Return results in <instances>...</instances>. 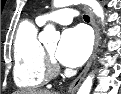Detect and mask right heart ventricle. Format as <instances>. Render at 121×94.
Instances as JSON below:
<instances>
[{"label": "right heart ventricle", "mask_w": 121, "mask_h": 94, "mask_svg": "<svg viewBox=\"0 0 121 94\" xmlns=\"http://www.w3.org/2000/svg\"><path fill=\"white\" fill-rule=\"evenodd\" d=\"M14 81L23 89L40 87L45 81L43 46L38 39V28L24 21L14 41Z\"/></svg>", "instance_id": "right-heart-ventricle-1"}]
</instances>
